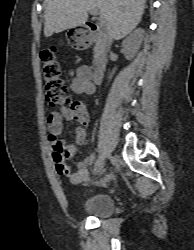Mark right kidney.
I'll return each instance as SVG.
<instances>
[{
    "mask_svg": "<svg viewBox=\"0 0 194 250\" xmlns=\"http://www.w3.org/2000/svg\"><path fill=\"white\" fill-rule=\"evenodd\" d=\"M143 29H137L133 31L123 42L122 46L124 48V55L127 60L134 58L135 54L138 52L140 45L143 40ZM111 78V75H110Z\"/></svg>",
    "mask_w": 194,
    "mask_h": 250,
    "instance_id": "obj_1",
    "label": "right kidney"
}]
</instances>
